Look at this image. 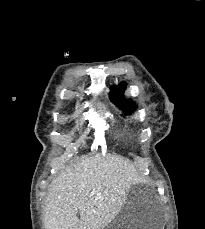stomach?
<instances>
[{
    "instance_id": "1",
    "label": "stomach",
    "mask_w": 205,
    "mask_h": 229,
    "mask_svg": "<svg viewBox=\"0 0 205 229\" xmlns=\"http://www.w3.org/2000/svg\"><path fill=\"white\" fill-rule=\"evenodd\" d=\"M162 204L151 196H128L117 216L104 229H164Z\"/></svg>"
}]
</instances>
